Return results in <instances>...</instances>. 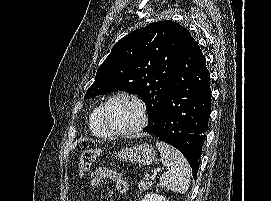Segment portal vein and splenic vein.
Masks as SVG:
<instances>
[{
  "mask_svg": "<svg viewBox=\"0 0 271 201\" xmlns=\"http://www.w3.org/2000/svg\"><path fill=\"white\" fill-rule=\"evenodd\" d=\"M155 177H156V175H155V174H153V175H151V176H150V179H151V180H154V179H155Z\"/></svg>",
  "mask_w": 271,
  "mask_h": 201,
  "instance_id": "obj_1",
  "label": "portal vein and splenic vein"
}]
</instances>
